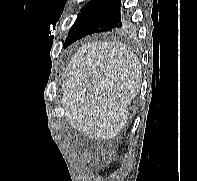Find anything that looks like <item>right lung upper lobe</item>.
<instances>
[{"label":"right lung upper lobe","mask_w":197,"mask_h":181,"mask_svg":"<svg viewBox=\"0 0 197 181\" xmlns=\"http://www.w3.org/2000/svg\"><path fill=\"white\" fill-rule=\"evenodd\" d=\"M94 2H96V0H91L87 5L84 6V9H87L91 4H93ZM81 11H84L83 9ZM118 30V29H117ZM122 29H119V31Z\"/></svg>","instance_id":"obj_1"}]
</instances>
